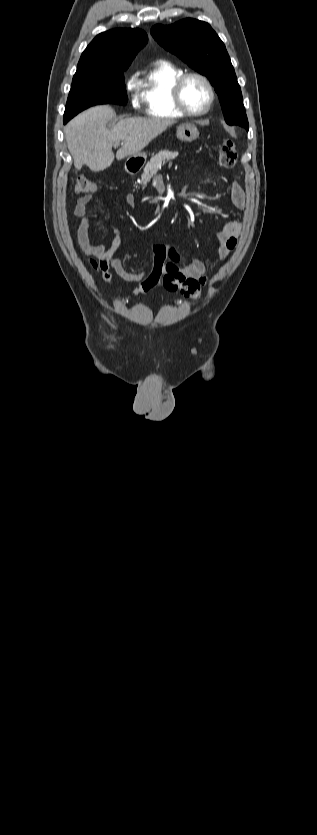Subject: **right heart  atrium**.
<instances>
[{"mask_svg": "<svg viewBox=\"0 0 317 835\" xmlns=\"http://www.w3.org/2000/svg\"><path fill=\"white\" fill-rule=\"evenodd\" d=\"M136 86H137L136 77H135L134 75H132V76H130V77L128 78V80H127V82H126V89H127L129 92H131V91H134V90L136 89ZM132 105H133V107H134V108H138V107H139V102H138V100L133 99V100H132Z\"/></svg>", "mask_w": 317, "mask_h": 835, "instance_id": "d8ad5b80", "label": "right heart atrium"}]
</instances>
